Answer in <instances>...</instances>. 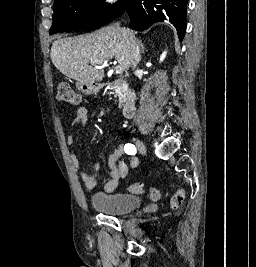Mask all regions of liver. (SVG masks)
Masks as SVG:
<instances>
[{
	"label": "liver",
	"mask_w": 256,
	"mask_h": 267,
	"mask_svg": "<svg viewBox=\"0 0 256 267\" xmlns=\"http://www.w3.org/2000/svg\"><path fill=\"white\" fill-rule=\"evenodd\" d=\"M127 32L125 36L112 24L86 36L55 40L50 52L51 60L55 68L67 78L79 80L83 84L101 82L104 78V70L99 66L101 62L116 58L119 66L129 70L131 46L136 38L133 32ZM91 60H96L97 64H91Z\"/></svg>",
	"instance_id": "6515ba94"
}]
</instances>
